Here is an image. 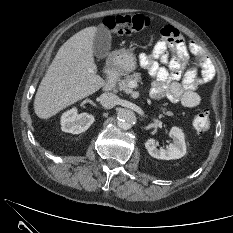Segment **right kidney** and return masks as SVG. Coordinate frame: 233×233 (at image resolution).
<instances>
[{"mask_svg":"<svg viewBox=\"0 0 233 233\" xmlns=\"http://www.w3.org/2000/svg\"><path fill=\"white\" fill-rule=\"evenodd\" d=\"M94 122V116L88 113H77L76 108L64 112L61 116V129L64 132L79 134L86 131Z\"/></svg>","mask_w":233,"mask_h":233,"instance_id":"1","label":"right kidney"}]
</instances>
